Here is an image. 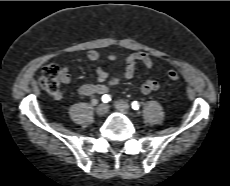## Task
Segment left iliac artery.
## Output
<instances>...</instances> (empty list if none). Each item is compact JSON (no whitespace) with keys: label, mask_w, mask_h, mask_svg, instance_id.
Returning a JSON list of instances; mask_svg holds the SVG:
<instances>
[{"label":"left iliac artery","mask_w":230,"mask_h":186,"mask_svg":"<svg viewBox=\"0 0 230 186\" xmlns=\"http://www.w3.org/2000/svg\"><path fill=\"white\" fill-rule=\"evenodd\" d=\"M131 107L134 109V110H138L140 108V104L137 102V101H133L131 103Z\"/></svg>","instance_id":"44dca946"}]
</instances>
